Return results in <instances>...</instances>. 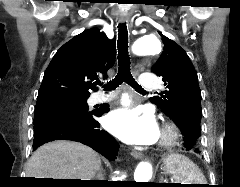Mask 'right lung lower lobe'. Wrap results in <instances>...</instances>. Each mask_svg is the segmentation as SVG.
Listing matches in <instances>:
<instances>
[{
	"instance_id": "98d812e1",
	"label": "right lung lower lobe",
	"mask_w": 240,
	"mask_h": 187,
	"mask_svg": "<svg viewBox=\"0 0 240 187\" xmlns=\"http://www.w3.org/2000/svg\"><path fill=\"white\" fill-rule=\"evenodd\" d=\"M109 108L101 106L87 115L72 116L59 111H50L34 119L33 148L54 140H72L93 148L107 159L113 161L119 150L115 139L100 130L98 117Z\"/></svg>"
}]
</instances>
